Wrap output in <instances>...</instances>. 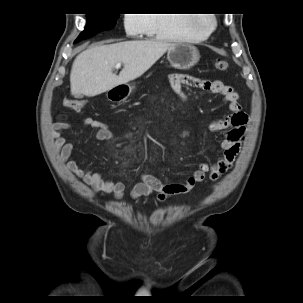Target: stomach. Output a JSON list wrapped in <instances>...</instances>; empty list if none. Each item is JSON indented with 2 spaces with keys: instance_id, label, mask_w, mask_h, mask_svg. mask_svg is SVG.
Listing matches in <instances>:
<instances>
[{
  "instance_id": "1",
  "label": "stomach",
  "mask_w": 303,
  "mask_h": 303,
  "mask_svg": "<svg viewBox=\"0 0 303 303\" xmlns=\"http://www.w3.org/2000/svg\"><path fill=\"white\" fill-rule=\"evenodd\" d=\"M167 59L171 66L177 69H189L194 66L200 59L198 49L187 43H174L167 52ZM127 88L126 95H118L120 99H126L135 89L132 84H124Z\"/></svg>"
}]
</instances>
